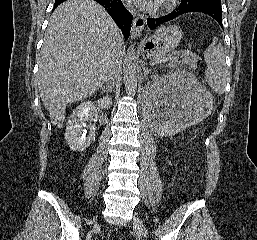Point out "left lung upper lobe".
<instances>
[{
  "label": "left lung upper lobe",
  "mask_w": 257,
  "mask_h": 240,
  "mask_svg": "<svg viewBox=\"0 0 257 240\" xmlns=\"http://www.w3.org/2000/svg\"><path fill=\"white\" fill-rule=\"evenodd\" d=\"M181 1L185 4H191V5L200 4V3H204V2H208V1H219V2H221V0H181Z\"/></svg>",
  "instance_id": "1"
}]
</instances>
